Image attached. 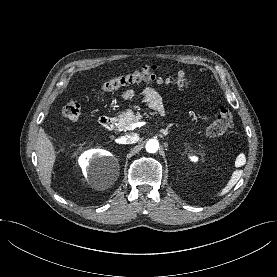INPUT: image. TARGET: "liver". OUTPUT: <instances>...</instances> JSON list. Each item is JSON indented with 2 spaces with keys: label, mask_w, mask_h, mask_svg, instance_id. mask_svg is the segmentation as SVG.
Here are the masks:
<instances>
[{
  "label": "liver",
  "mask_w": 277,
  "mask_h": 277,
  "mask_svg": "<svg viewBox=\"0 0 277 277\" xmlns=\"http://www.w3.org/2000/svg\"><path fill=\"white\" fill-rule=\"evenodd\" d=\"M36 144L38 163L41 175L43 179L47 182V184H50L51 173L57 157V152L55 151V147L52 141L50 140V137L43 128H40L38 132Z\"/></svg>",
  "instance_id": "6515ba94"
}]
</instances>
